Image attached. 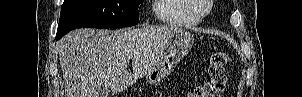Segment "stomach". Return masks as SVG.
Instances as JSON below:
<instances>
[{
  "mask_svg": "<svg viewBox=\"0 0 302 97\" xmlns=\"http://www.w3.org/2000/svg\"><path fill=\"white\" fill-rule=\"evenodd\" d=\"M193 45V37L188 33L177 35L162 54L157 64L146 74V82L158 84L170 74L177 64L188 54Z\"/></svg>",
  "mask_w": 302,
  "mask_h": 97,
  "instance_id": "1",
  "label": "stomach"
}]
</instances>
